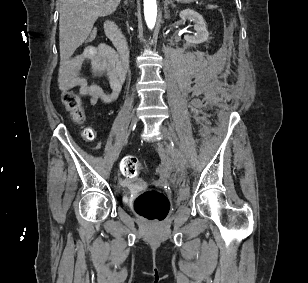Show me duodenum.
Wrapping results in <instances>:
<instances>
[{
    "mask_svg": "<svg viewBox=\"0 0 308 283\" xmlns=\"http://www.w3.org/2000/svg\"><path fill=\"white\" fill-rule=\"evenodd\" d=\"M104 28L107 37L118 52V59L122 70L127 71L129 68L130 53L124 36L114 20L106 21Z\"/></svg>",
    "mask_w": 308,
    "mask_h": 283,
    "instance_id": "obj_1",
    "label": "duodenum"
}]
</instances>
